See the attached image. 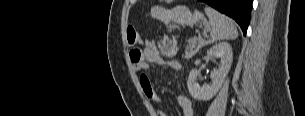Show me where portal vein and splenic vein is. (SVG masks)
Returning <instances> with one entry per match:
<instances>
[{
    "label": "portal vein and splenic vein",
    "instance_id": "1",
    "mask_svg": "<svg viewBox=\"0 0 305 116\" xmlns=\"http://www.w3.org/2000/svg\"><path fill=\"white\" fill-rule=\"evenodd\" d=\"M204 41L199 37V43H203Z\"/></svg>",
    "mask_w": 305,
    "mask_h": 116
}]
</instances>
